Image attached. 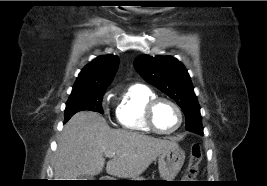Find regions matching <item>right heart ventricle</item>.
<instances>
[{
	"label": "right heart ventricle",
	"mask_w": 267,
	"mask_h": 186,
	"mask_svg": "<svg viewBox=\"0 0 267 186\" xmlns=\"http://www.w3.org/2000/svg\"><path fill=\"white\" fill-rule=\"evenodd\" d=\"M156 94L141 84L132 85L121 97L116 108V120L125 131L148 134L151 129L144 120L145 106Z\"/></svg>",
	"instance_id": "1"
}]
</instances>
